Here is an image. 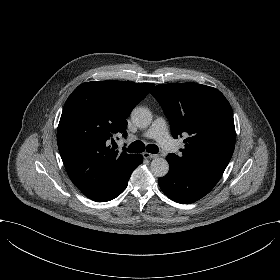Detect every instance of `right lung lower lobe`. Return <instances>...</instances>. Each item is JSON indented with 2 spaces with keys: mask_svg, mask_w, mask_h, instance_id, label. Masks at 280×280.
I'll return each mask as SVG.
<instances>
[{
  "mask_svg": "<svg viewBox=\"0 0 280 280\" xmlns=\"http://www.w3.org/2000/svg\"><path fill=\"white\" fill-rule=\"evenodd\" d=\"M142 160L143 156L139 154L138 159L134 164V167L126 174H124L119 180H116L115 183L111 186V188L106 190V193L102 196V199L97 202L109 201L120 195L127 187L131 173L137 168L138 165L142 163Z\"/></svg>",
  "mask_w": 280,
  "mask_h": 280,
  "instance_id": "right-lung-lower-lobe-1",
  "label": "right lung lower lobe"
}]
</instances>
